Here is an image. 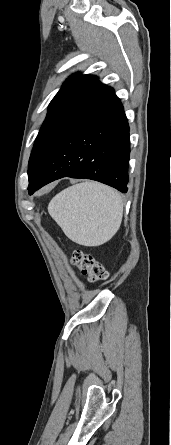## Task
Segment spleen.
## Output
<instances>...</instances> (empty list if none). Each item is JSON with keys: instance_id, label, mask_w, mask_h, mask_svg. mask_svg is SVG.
Here are the masks:
<instances>
[{"instance_id": "3e777b00", "label": "spleen", "mask_w": 171, "mask_h": 445, "mask_svg": "<svg viewBox=\"0 0 171 445\" xmlns=\"http://www.w3.org/2000/svg\"><path fill=\"white\" fill-rule=\"evenodd\" d=\"M48 212L70 240L84 246H99L119 230L123 201L113 188L86 181L54 196Z\"/></svg>"}]
</instances>
